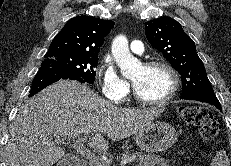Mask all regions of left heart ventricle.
I'll list each match as a JSON object with an SVG mask.
<instances>
[{
    "label": "left heart ventricle",
    "mask_w": 231,
    "mask_h": 166,
    "mask_svg": "<svg viewBox=\"0 0 231 166\" xmlns=\"http://www.w3.org/2000/svg\"><path fill=\"white\" fill-rule=\"evenodd\" d=\"M137 93L146 100L163 98L169 91V74L160 67L145 68L140 66L131 76Z\"/></svg>",
    "instance_id": "left-heart-ventricle-1"
}]
</instances>
